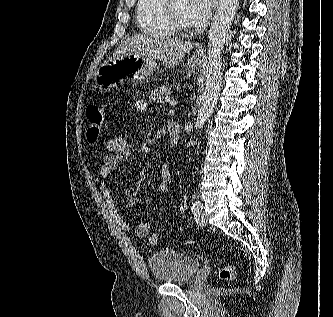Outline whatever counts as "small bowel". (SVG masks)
Instances as JSON below:
<instances>
[{
  "mask_svg": "<svg viewBox=\"0 0 333 317\" xmlns=\"http://www.w3.org/2000/svg\"><path fill=\"white\" fill-rule=\"evenodd\" d=\"M133 107L136 112L142 113L147 110V103L143 99H137L135 100ZM105 147L108 153L104 157L100 168L101 195L118 227L125 232H133L137 237H145L148 235L152 227V222H142L134 227L127 223L118 212L113 194L108 185V180L111 174L125 164L131 156L132 147L129 143L128 137L126 135L112 137L105 142ZM171 180L172 175L169 165H162L161 181L157 187V191L159 193L168 192Z\"/></svg>",
  "mask_w": 333,
  "mask_h": 317,
  "instance_id": "obj_1",
  "label": "small bowel"
}]
</instances>
